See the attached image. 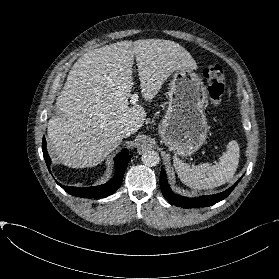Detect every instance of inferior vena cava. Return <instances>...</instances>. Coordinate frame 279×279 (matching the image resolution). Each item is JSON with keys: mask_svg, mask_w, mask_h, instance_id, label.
<instances>
[{"mask_svg": "<svg viewBox=\"0 0 279 279\" xmlns=\"http://www.w3.org/2000/svg\"><path fill=\"white\" fill-rule=\"evenodd\" d=\"M132 134V129L130 127H125L122 131H121V136L123 138L129 137Z\"/></svg>", "mask_w": 279, "mask_h": 279, "instance_id": "602c4592", "label": "inferior vena cava"}]
</instances>
